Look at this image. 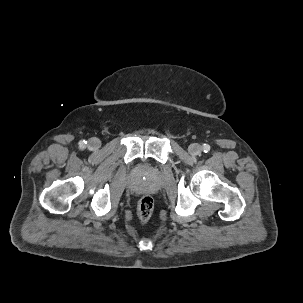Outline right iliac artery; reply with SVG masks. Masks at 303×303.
I'll return each instance as SVG.
<instances>
[{
  "label": "right iliac artery",
  "instance_id": "82829eb1",
  "mask_svg": "<svg viewBox=\"0 0 303 303\" xmlns=\"http://www.w3.org/2000/svg\"><path fill=\"white\" fill-rule=\"evenodd\" d=\"M86 143H87L86 141H81V142H80V147H81V148H84L85 145H86Z\"/></svg>",
  "mask_w": 303,
  "mask_h": 303
}]
</instances>
